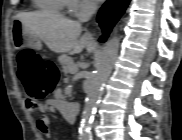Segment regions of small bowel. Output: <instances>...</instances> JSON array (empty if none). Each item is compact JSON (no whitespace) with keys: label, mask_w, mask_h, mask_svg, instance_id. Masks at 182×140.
Wrapping results in <instances>:
<instances>
[{"label":"small bowel","mask_w":182,"mask_h":140,"mask_svg":"<svg viewBox=\"0 0 182 140\" xmlns=\"http://www.w3.org/2000/svg\"><path fill=\"white\" fill-rule=\"evenodd\" d=\"M26 108L29 112H38L40 117L36 121L37 129L46 137L53 140V131L51 127V120L47 114V108L40 102H33L29 98L25 101Z\"/></svg>","instance_id":"small-bowel-1"}]
</instances>
